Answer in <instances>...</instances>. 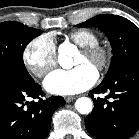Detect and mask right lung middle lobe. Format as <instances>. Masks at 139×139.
Instances as JSON below:
<instances>
[{"label": "right lung middle lobe", "mask_w": 139, "mask_h": 139, "mask_svg": "<svg viewBox=\"0 0 139 139\" xmlns=\"http://www.w3.org/2000/svg\"><path fill=\"white\" fill-rule=\"evenodd\" d=\"M41 33V30L18 22L0 23V66L29 75L23 62V51Z\"/></svg>", "instance_id": "obj_1"}]
</instances>
